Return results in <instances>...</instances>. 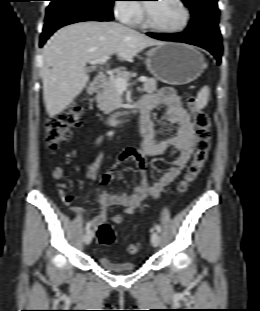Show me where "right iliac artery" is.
Wrapping results in <instances>:
<instances>
[{"instance_id": "right-iliac-artery-1", "label": "right iliac artery", "mask_w": 260, "mask_h": 311, "mask_svg": "<svg viewBox=\"0 0 260 311\" xmlns=\"http://www.w3.org/2000/svg\"><path fill=\"white\" fill-rule=\"evenodd\" d=\"M90 227H91V223H90V222H88V223H87V225H86L85 230H86V231H89Z\"/></svg>"}]
</instances>
